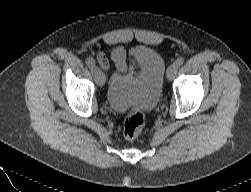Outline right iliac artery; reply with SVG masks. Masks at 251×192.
I'll list each match as a JSON object with an SVG mask.
<instances>
[{"label": "right iliac artery", "mask_w": 251, "mask_h": 192, "mask_svg": "<svg viewBox=\"0 0 251 192\" xmlns=\"http://www.w3.org/2000/svg\"><path fill=\"white\" fill-rule=\"evenodd\" d=\"M86 64L92 70L95 66V61L92 58H88L86 60Z\"/></svg>", "instance_id": "1"}]
</instances>
